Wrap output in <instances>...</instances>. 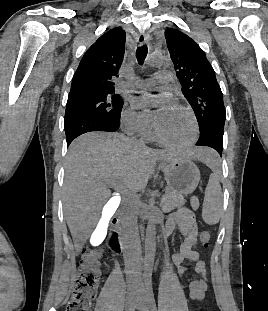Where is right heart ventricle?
<instances>
[{
    "label": "right heart ventricle",
    "mask_w": 268,
    "mask_h": 311,
    "mask_svg": "<svg viewBox=\"0 0 268 311\" xmlns=\"http://www.w3.org/2000/svg\"><path fill=\"white\" fill-rule=\"evenodd\" d=\"M144 137L148 140L153 139V134L151 131H148L146 134H144Z\"/></svg>",
    "instance_id": "right-heart-ventricle-1"
}]
</instances>
